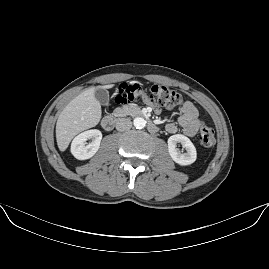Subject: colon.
Returning a JSON list of instances; mask_svg holds the SVG:
<instances>
[{"mask_svg": "<svg viewBox=\"0 0 269 269\" xmlns=\"http://www.w3.org/2000/svg\"><path fill=\"white\" fill-rule=\"evenodd\" d=\"M148 87L142 89L137 84H123L116 91L115 100L120 105H127L131 101H143L166 109H174L182 103L181 94L167 85L154 83ZM199 140L205 147L215 145L214 132L206 123H201L199 127Z\"/></svg>", "mask_w": 269, "mask_h": 269, "instance_id": "colon-1", "label": "colon"}]
</instances>
